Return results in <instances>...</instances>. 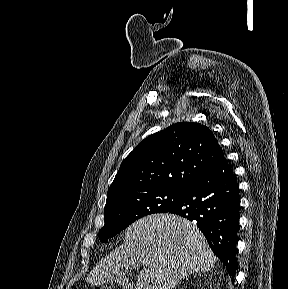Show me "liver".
Returning <instances> with one entry per match:
<instances>
[{
  "instance_id": "obj_1",
  "label": "liver",
  "mask_w": 288,
  "mask_h": 289,
  "mask_svg": "<svg viewBox=\"0 0 288 289\" xmlns=\"http://www.w3.org/2000/svg\"><path fill=\"white\" fill-rule=\"evenodd\" d=\"M215 262L194 223L174 214H152L127 228L124 243L99 261L86 282L100 286L118 272L143 266L131 287L173 289L182 278L207 271Z\"/></svg>"
}]
</instances>
